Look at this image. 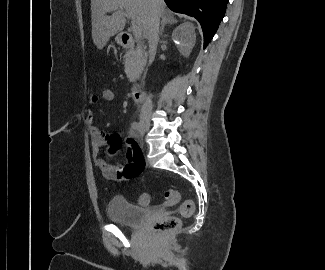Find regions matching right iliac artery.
I'll use <instances>...</instances> for the list:
<instances>
[{
	"instance_id": "right-iliac-artery-1",
	"label": "right iliac artery",
	"mask_w": 325,
	"mask_h": 270,
	"mask_svg": "<svg viewBox=\"0 0 325 270\" xmlns=\"http://www.w3.org/2000/svg\"><path fill=\"white\" fill-rule=\"evenodd\" d=\"M132 128L135 129V130H139L141 128V125L138 122H133Z\"/></svg>"
}]
</instances>
